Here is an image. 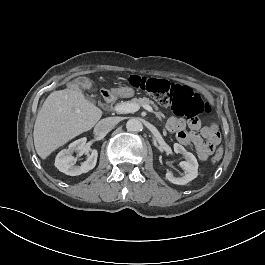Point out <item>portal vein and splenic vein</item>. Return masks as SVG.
Wrapping results in <instances>:
<instances>
[{
    "label": "portal vein and splenic vein",
    "instance_id": "18ae733b",
    "mask_svg": "<svg viewBox=\"0 0 265 265\" xmlns=\"http://www.w3.org/2000/svg\"><path fill=\"white\" fill-rule=\"evenodd\" d=\"M147 111L149 112H153L152 107L150 106H145L144 107ZM139 109V106L133 103H128V102H124V103H120L117 104L115 106H113L112 110L116 113H134Z\"/></svg>",
    "mask_w": 265,
    "mask_h": 265
}]
</instances>
